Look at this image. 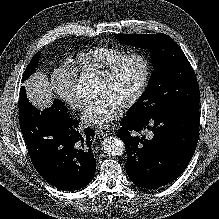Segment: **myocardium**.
Here are the masks:
<instances>
[{"label": "myocardium", "instance_id": "obj_1", "mask_svg": "<svg viewBox=\"0 0 219 219\" xmlns=\"http://www.w3.org/2000/svg\"><path fill=\"white\" fill-rule=\"evenodd\" d=\"M131 59L140 60L143 64L144 72L137 90L135 91L133 96L122 105V108L125 110L133 108L142 99L148 88L152 75V63L149 57L141 52L128 53L115 61L99 76V80L103 82H109L117 74V72L124 65V63Z\"/></svg>", "mask_w": 219, "mask_h": 219}]
</instances>
